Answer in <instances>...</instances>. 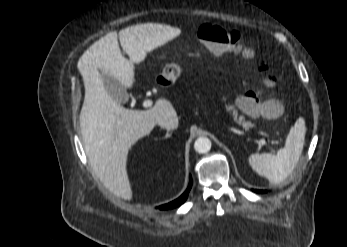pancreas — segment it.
Returning <instances> with one entry per match:
<instances>
[{"label":"pancreas","mask_w":347,"mask_h":247,"mask_svg":"<svg viewBox=\"0 0 347 247\" xmlns=\"http://www.w3.org/2000/svg\"><path fill=\"white\" fill-rule=\"evenodd\" d=\"M226 110L232 114V117H233L235 120L239 121V120H238V112H237V110L234 108L233 105H230V104L226 105ZM239 123H240V124H244L242 121H239ZM247 126H250V124H248Z\"/></svg>","instance_id":"cf45deb5"}]
</instances>
